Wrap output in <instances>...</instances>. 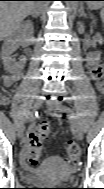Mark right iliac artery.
I'll return each mask as SVG.
<instances>
[{
	"label": "right iliac artery",
	"mask_w": 104,
	"mask_h": 189,
	"mask_svg": "<svg viewBox=\"0 0 104 189\" xmlns=\"http://www.w3.org/2000/svg\"><path fill=\"white\" fill-rule=\"evenodd\" d=\"M36 115V112H31L28 116V119H26V125H31V122H34V118Z\"/></svg>",
	"instance_id": "1"
}]
</instances>
